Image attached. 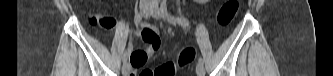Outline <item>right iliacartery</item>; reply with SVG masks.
Here are the masks:
<instances>
[{"instance_id":"right-iliac-artery-1","label":"right iliac artery","mask_w":333,"mask_h":76,"mask_svg":"<svg viewBox=\"0 0 333 76\" xmlns=\"http://www.w3.org/2000/svg\"><path fill=\"white\" fill-rule=\"evenodd\" d=\"M134 20H135V23H136L137 25H139V24L142 25V23H141V20H142V15H141V13H137V14L135 15ZM128 53H129V49H128V51H126V52L124 53V56H123V62H124V63H126V61H127V59H128Z\"/></svg>"}]
</instances>
